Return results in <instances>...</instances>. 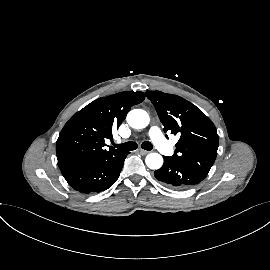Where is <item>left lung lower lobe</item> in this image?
I'll return each mask as SVG.
<instances>
[{
  "label": "left lung lower lobe",
  "instance_id": "obj_1",
  "mask_svg": "<svg viewBox=\"0 0 270 270\" xmlns=\"http://www.w3.org/2000/svg\"><path fill=\"white\" fill-rule=\"evenodd\" d=\"M163 166L154 172L155 177L176 189H187L204 180L208 173L175 158L163 156Z\"/></svg>",
  "mask_w": 270,
  "mask_h": 270
}]
</instances>
